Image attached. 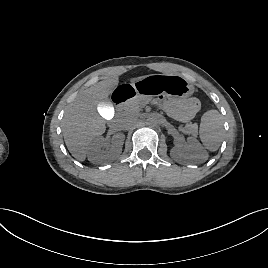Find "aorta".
Wrapping results in <instances>:
<instances>
[{"label":"aorta","instance_id":"1","mask_svg":"<svg viewBox=\"0 0 268 268\" xmlns=\"http://www.w3.org/2000/svg\"><path fill=\"white\" fill-rule=\"evenodd\" d=\"M157 124H158V118L156 115H150L146 119V125H148L149 127H155Z\"/></svg>","mask_w":268,"mask_h":268}]
</instances>
